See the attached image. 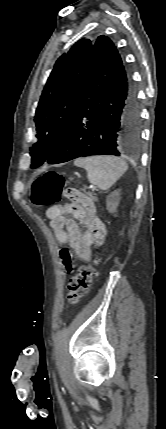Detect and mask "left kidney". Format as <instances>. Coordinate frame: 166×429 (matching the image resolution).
I'll return each mask as SVG.
<instances>
[{"mask_svg": "<svg viewBox=\"0 0 166 429\" xmlns=\"http://www.w3.org/2000/svg\"><path fill=\"white\" fill-rule=\"evenodd\" d=\"M120 202V190H115L106 198L107 210L115 213Z\"/></svg>", "mask_w": 166, "mask_h": 429, "instance_id": "obj_1", "label": "left kidney"}]
</instances>
